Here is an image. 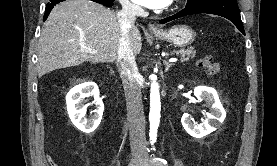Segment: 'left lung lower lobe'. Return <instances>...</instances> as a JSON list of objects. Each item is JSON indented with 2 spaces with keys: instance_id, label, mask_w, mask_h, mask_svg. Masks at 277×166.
I'll return each instance as SVG.
<instances>
[{
  "instance_id": "0a47b994",
  "label": "left lung lower lobe",
  "mask_w": 277,
  "mask_h": 166,
  "mask_svg": "<svg viewBox=\"0 0 277 166\" xmlns=\"http://www.w3.org/2000/svg\"><path fill=\"white\" fill-rule=\"evenodd\" d=\"M199 13H208L225 17L232 21L245 35L236 0H205L196 5L185 7V9L177 14L160 20V23H167L183 16Z\"/></svg>"
}]
</instances>
